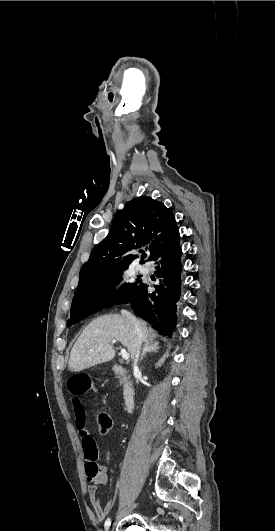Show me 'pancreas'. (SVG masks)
Returning <instances> with one entry per match:
<instances>
[{
    "label": "pancreas",
    "instance_id": "1",
    "mask_svg": "<svg viewBox=\"0 0 275 531\" xmlns=\"http://www.w3.org/2000/svg\"><path fill=\"white\" fill-rule=\"evenodd\" d=\"M117 379H120V377H117ZM120 383H126L125 379H120Z\"/></svg>",
    "mask_w": 275,
    "mask_h": 531
}]
</instances>
